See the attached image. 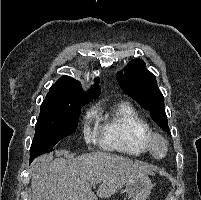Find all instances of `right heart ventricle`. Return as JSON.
<instances>
[{
	"instance_id": "right-heart-ventricle-1",
	"label": "right heart ventricle",
	"mask_w": 201,
	"mask_h": 200,
	"mask_svg": "<svg viewBox=\"0 0 201 200\" xmlns=\"http://www.w3.org/2000/svg\"><path fill=\"white\" fill-rule=\"evenodd\" d=\"M151 133L150 126L136 109L127 102H120L103 118L100 144L107 150L141 156L150 152L148 138Z\"/></svg>"
}]
</instances>
